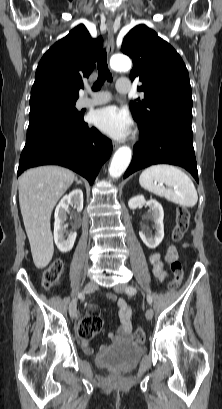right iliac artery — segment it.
I'll use <instances>...</instances> for the list:
<instances>
[{
    "instance_id": "82829eb1",
    "label": "right iliac artery",
    "mask_w": 222,
    "mask_h": 409,
    "mask_svg": "<svg viewBox=\"0 0 222 409\" xmlns=\"http://www.w3.org/2000/svg\"><path fill=\"white\" fill-rule=\"evenodd\" d=\"M82 296V294H79V297H81Z\"/></svg>"
}]
</instances>
